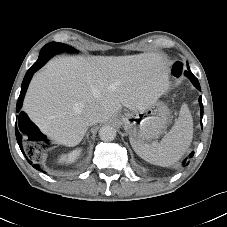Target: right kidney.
<instances>
[{
    "instance_id": "obj_1",
    "label": "right kidney",
    "mask_w": 227,
    "mask_h": 227,
    "mask_svg": "<svg viewBox=\"0 0 227 227\" xmlns=\"http://www.w3.org/2000/svg\"><path fill=\"white\" fill-rule=\"evenodd\" d=\"M80 153H81L80 149L73 150L69 154L61 156L59 162H61V163H72L78 158Z\"/></svg>"
}]
</instances>
